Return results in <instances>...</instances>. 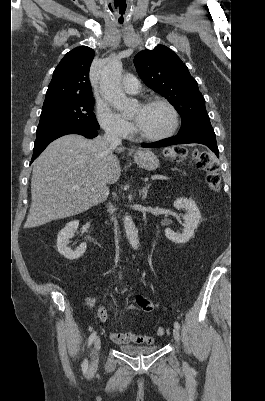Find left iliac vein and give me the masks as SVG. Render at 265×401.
Instances as JSON below:
<instances>
[{
	"label": "left iliac vein",
	"instance_id": "obj_1",
	"mask_svg": "<svg viewBox=\"0 0 265 401\" xmlns=\"http://www.w3.org/2000/svg\"><path fill=\"white\" fill-rule=\"evenodd\" d=\"M173 337L175 339L176 342H180V333L179 330L177 328L173 329Z\"/></svg>",
	"mask_w": 265,
	"mask_h": 401
}]
</instances>
